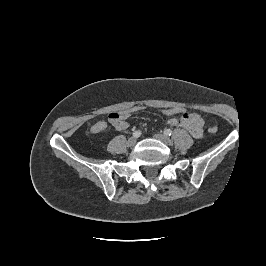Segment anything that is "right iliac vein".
Returning <instances> with one entry per match:
<instances>
[{
	"label": "right iliac vein",
	"mask_w": 266,
	"mask_h": 266,
	"mask_svg": "<svg viewBox=\"0 0 266 266\" xmlns=\"http://www.w3.org/2000/svg\"><path fill=\"white\" fill-rule=\"evenodd\" d=\"M136 141H137L136 137H131V138L128 139L127 145L129 147H133L136 144Z\"/></svg>",
	"instance_id": "63e3f726"
}]
</instances>
